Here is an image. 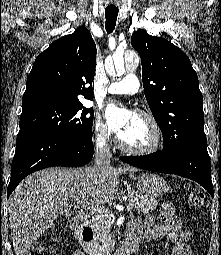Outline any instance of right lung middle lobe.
<instances>
[{
    "mask_svg": "<svg viewBox=\"0 0 221 255\" xmlns=\"http://www.w3.org/2000/svg\"><path fill=\"white\" fill-rule=\"evenodd\" d=\"M93 111L83 104H47L25 109L20 129L37 130L68 139L91 138Z\"/></svg>",
    "mask_w": 221,
    "mask_h": 255,
    "instance_id": "obj_1",
    "label": "right lung middle lobe"
}]
</instances>
